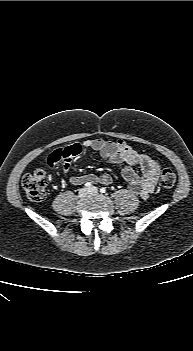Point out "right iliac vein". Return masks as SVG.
<instances>
[{
  "mask_svg": "<svg viewBox=\"0 0 193 351\" xmlns=\"http://www.w3.org/2000/svg\"><path fill=\"white\" fill-rule=\"evenodd\" d=\"M87 194H88V190L86 188H82L78 192V197L79 198H84V197L87 196Z\"/></svg>",
  "mask_w": 193,
  "mask_h": 351,
  "instance_id": "obj_1",
  "label": "right iliac vein"
}]
</instances>
